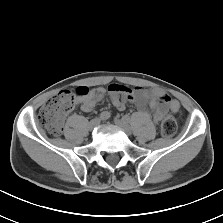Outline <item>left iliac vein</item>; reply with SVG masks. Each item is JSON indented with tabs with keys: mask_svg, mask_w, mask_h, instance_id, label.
<instances>
[{
	"mask_svg": "<svg viewBox=\"0 0 223 223\" xmlns=\"http://www.w3.org/2000/svg\"><path fill=\"white\" fill-rule=\"evenodd\" d=\"M115 124H116L117 127L122 129L127 135L131 134V132H132L131 127L129 126V124L125 120L117 119V120H115Z\"/></svg>",
	"mask_w": 223,
	"mask_h": 223,
	"instance_id": "left-iliac-vein-1",
	"label": "left iliac vein"
}]
</instances>
